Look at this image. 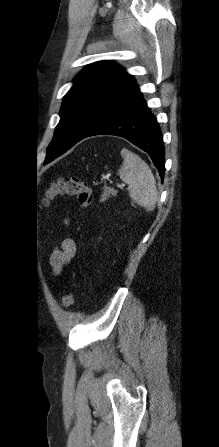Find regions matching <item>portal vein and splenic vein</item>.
<instances>
[{"mask_svg":"<svg viewBox=\"0 0 219 447\" xmlns=\"http://www.w3.org/2000/svg\"><path fill=\"white\" fill-rule=\"evenodd\" d=\"M116 186L121 189V188H123L124 184L123 183H116Z\"/></svg>","mask_w":219,"mask_h":447,"instance_id":"1","label":"portal vein and splenic vein"}]
</instances>
